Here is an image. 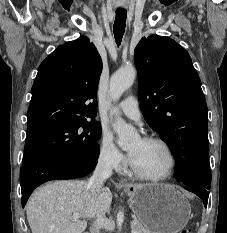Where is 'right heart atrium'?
Masks as SVG:
<instances>
[{"label":"right heart atrium","instance_id":"1","mask_svg":"<svg viewBox=\"0 0 227 233\" xmlns=\"http://www.w3.org/2000/svg\"><path fill=\"white\" fill-rule=\"evenodd\" d=\"M98 161L106 169L114 171L121 170L126 163L124 155L114 143L112 136L106 132H102L99 139Z\"/></svg>","mask_w":227,"mask_h":233}]
</instances>
